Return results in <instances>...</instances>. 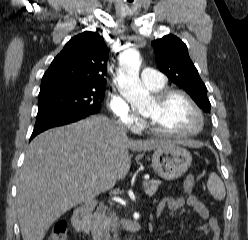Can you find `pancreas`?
Wrapping results in <instances>:
<instances>
[{"label": "pancreas", "instance_id": "1", "mask_svg": "<svg viewBox=\"0 0 248 240\" xmlns=\"http://www.w3.org/2000/svg\"><path fill=\"white\" fill-rule=\"evenodd\" d=\"M160 180L145 181V193L152 196L158 189ZM110 224V219L106 215V209H98L93 215L91 233L96 238L103 237Z\"/></svg>", "mask_w": 248, "mask_h": 240}]
</instances>
